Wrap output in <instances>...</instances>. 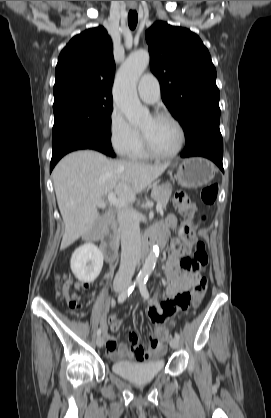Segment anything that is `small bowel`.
Returning <instances> with one entry per match:
<instances>
[{
	"mask_svg": "<svg viewBox=\"0 0 271 418\" xmlns=\"http://www.w3.org/2000/svg\"><path fill=\"white\" fill-rule=\"evenodd\" d=\"M166 225L171 228L176 227V218L174 216H169ZM157 229L166 232V229L163 226H158ZM183 254L184 251L180 247L176 246L173 248L165 267L168 284L167 298L161 303L155 300L148 307V317L155 326L153 332L154 337L151 339L150 343L141 344L138 335L131 332L128 334L131 347H128L122 343L118 344L117 335H108L105 332L104 342L109 358H127L131 360L145 361L149 358L161 356L165 352L163 341L167 338L168 331L164 325L168 323L177 312L187 309L190 304L191 289H194L195 293L196 278L193 275L186 274L180 266ZM76 287L84 290L88 287V284L77 283ZM182 300H186L187 303L183 304ZM109 321L111 330L113 332H117L121 327V320H119L116 316H111Z\"/></svg>",
	"mask_w": 271,
	"mask_h": 418,
	"instance_id": "obj_1",
	"label": "small bowel"
}]
</instances>
